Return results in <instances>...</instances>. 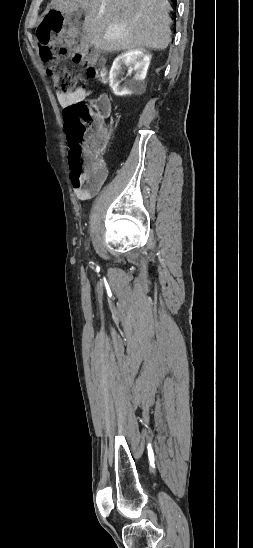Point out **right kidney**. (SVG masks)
Instances as JSON below:
<instances>
[{
  "label": "right kidney",
  "instance_id": "1",
  "mask_svg": "<svg viewBox=\"0 0 253 548\" xmlns=\"http://www.w3.org/2000/svg\"><path fill=\"white\" fill-rule=\"evenodd\" d=\"M152 55L145 49H133L122 53L113 62L109 73V83L116 96L137 94L145 90L144 79L151 61ZM129 67L134 70L132 79L121 85L122 68Z\"/></svg>",
  "mask_w": 253,
  "mask_h": 548
}]
</instances>
